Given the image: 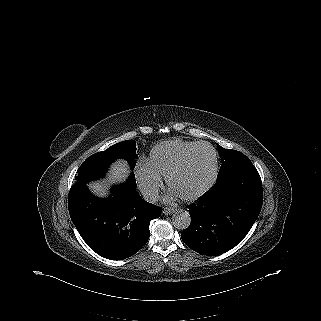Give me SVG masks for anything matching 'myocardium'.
I'll use <instances>...</instances> for the list:
<instances>
[{
    "label": "myocardium",
    "instance_id": "obj_1",
    "mask_svg": "<svg viewBox=\"0 0 321 321\" xmlns=\"http://www.w3.org/2000/svg\"><path fill=\"white\" fill-rule=\"evenodd\" d=\"M201 147H206L209 148L212 153H213V157H214V169H213V174L211 179L209 180V182L203 187L201 188L199 191H197L194 194L191 195H186V196H179L182 200L184 201H193L199 197H201L202 195H204L205 193H207L216 183L217 181V177H218V172H219V161H218V154L217 151L215 150V148L210 145L209 143L206 142H199L197 143L193 148H191L185 155L184 157H182L173 167H171V169L167 172L166 174V184L167 186L170 188L171 185V181L172 178L174 177L175 174H177L178 172H180L188 163L190 157L192 156V154L195 152V150H197L198 148Z\"/></svg>",
    "mask_w": 321,
    "mask_h": 321
}]
</instances>
